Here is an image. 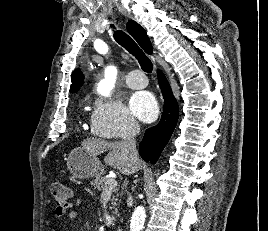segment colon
Listing matches in <instances>:
<instances>
[{"instance_id": "colon-1", "label": "colon", "mask_w": 268, "mask_h": 231, "mask_svg": "<svg viewBox=\"0 0 268 231\" xmlns=\"http://www.w3.org/2000/svg\"><path fill=\"white\" fill-rule=\"evenodd\" d=\"M50 192L56 205L62 208L67 207L70 198V190L68 187L61 183L54 182L50 185Z\"/></svg>"}]
</instances>
